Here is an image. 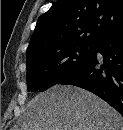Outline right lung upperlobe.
Here are the masks:
<instances>
[{"instance_id": "right-lung-upper-lobe-1", "label": "right lung upper lobe", "mask_w": 123, "mask_h": 130, "mask_svg": "<svg viewBox=\"0 0 123 130\" xmlns=\"http://www.w3.org/2000/svg\"><path fill=\"white\" fill-rule=\"evenodd\" d=\"M123 25V0H58L38 18L27 61L78 44H95Z\"/></svg>"}]
</instances>
